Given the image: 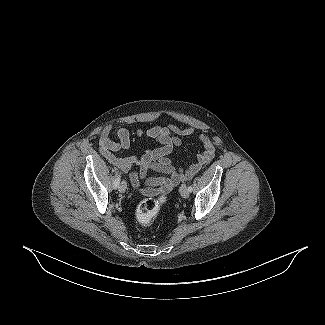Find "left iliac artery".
I'll return each instance as SVG.
<instances>
[{"label": "left iliac artery", "instance_id": "1", "mask_svg": "<svg viewBox=\"0 0 325 325\" xmlns=\"http://www.w3.org/2000/svg\"><path fill=\"white\" fill-rule=\"evenodd\" d=\"M188 190H189V192H192V190H193L192 186H189Z\"/></svg>", "mask_w": 325, "mask_h": 325}]
</instances>
